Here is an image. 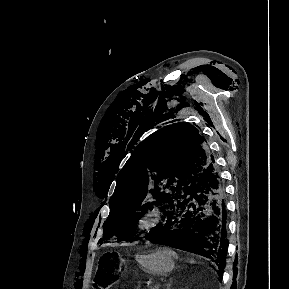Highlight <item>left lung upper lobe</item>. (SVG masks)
I'll return each mask as SVG.
<instances>
[{
  "label": "left lung upper lobe",
  "mask_w": 289,
  "mask_h": 289,
  "mask_svg": "<svg viewBox=\"0 0 289 289\" xmlns=\"http://www.w3.org/2000/svg\"><path fill=\"white\" fill-rule=\"evenodd\" d=\"M213 158L205 139L190 124L174 123L150 135L117 176L101 241L137 239L138 219L157 204H162L168 215L174 198L204 172Z\"/></svg>",
  "instance_id": "obj_1"
}]
</instances>
